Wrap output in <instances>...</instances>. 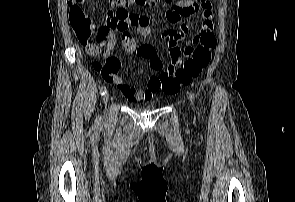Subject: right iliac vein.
I'll list each match as a JSON object with an SVG mask.
<instances>
[{"label":"right iliac vein","instance_id":"obj_1","mask_svg":"<svg viewBox=\"0 0 295 202\" xmlns=\"http://www.w3.org/2000/svg\"><path fill=\"white\" fill-rule=\"evenodd\" d=\"M103 101H104V104L107 105L108 101H109V94L106 93L103 97Z\"/></svg>","mask_w":295,"mask_h":202}]
</instances>
